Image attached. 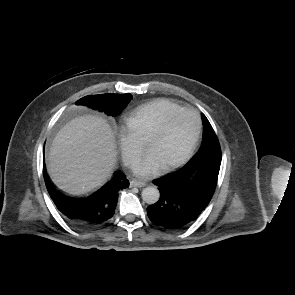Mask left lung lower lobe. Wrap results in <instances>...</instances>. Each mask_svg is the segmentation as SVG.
<instances>
[{
    "instance_id": "obj_1",
    "label": "left lung lower lobe",
    "mask_w": 295,
    "mask_h": 295,
    "mask_svg": "<svg viewBox=\"0 0 295 295\" xmlns=\"http://www.w3.org/2000/svg\"><path fill=\"white\" fill-rule=\"evenodd\" d=\"M221 155H206L180 171L153 181L159 187L160 199L147 208L149 219L170 230L186 227L209 204L217 184ZM198 170L197 180L190 176Z\"/></svg>"
}]
</instances>
